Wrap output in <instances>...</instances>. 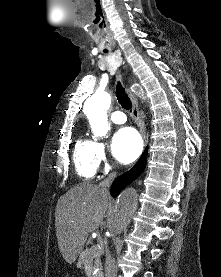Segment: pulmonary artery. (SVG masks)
<instances>
[{"label":"pulmonary artery","mask_w":221,"mask_h":277,"mask_svg":"<svg viewBox=\"0 0 221 277\" xmlns=\"http://www.w3.org/2000/svg\"><path fill=\"white\" fill-rule=\"evenodd\" d=\"M111 120L116 124H123L126 122V115L122 111H115L111 114Z\"/></svg>","instance_id":"1"}]
</instances>
